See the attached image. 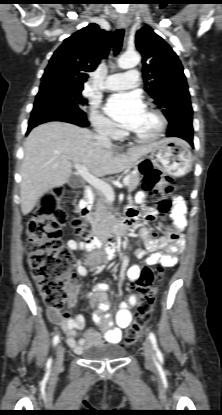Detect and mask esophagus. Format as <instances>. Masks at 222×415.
<instances>
[{
    "label": "esophagus",
    "instance_id": "34e87169",
    "mask_svg": "<svg viewBox=\"0 0 222 415\" xmlns=\"http://www.w3.org/2000/svg\"><path fill=\"white\" fill-rule=\"evenodd\" d=\"M117 26H118L119 29H125L128 26V21L126 19H120L118 21V25Z\"/></svg>",
    "mask_w": 222,
    "mask_h": 415
}]
</instances>
